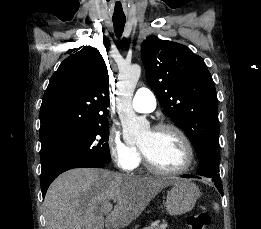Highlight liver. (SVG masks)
Here are the masks:
<instances>
[{
	"label": "liver",
	"mask_w": 261,
	"mask_h": 229,
	"mask_svg": "<svg viewBox=\"0 0 261 229\" xmlns=\"http://www.w3.org/2000/svg\"><path fill=\"white\" fill-rule=\"evenodd\" d=\"M171 183L163 177L71 169L55 179L45 195L46 229H123ZM111 199L117 201L113 211Z\"/></svg>",
	"instance_id": "1"
}]
</instances>
